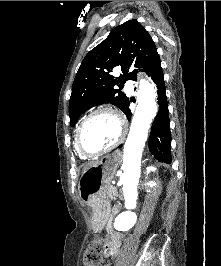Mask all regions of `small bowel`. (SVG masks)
I'll return each mask as SVG.
<instances>
[{"instance_id": "c3829d8e", "label": "small bowel", "mask_w": 221, "mask_h": 266, "mask_svg": "<svg viewBox=\"0 0 221 266\" xmlns=\"http://www.w3.org/2000/svg\"><path fill=\"white\" fill-rule=\"evenodd\" d=\"M108 229L110 232V241L105 245L104 254L106 257H112L117 254L118 248L123 240V234L116 231L112 225Z\"/></svg>"}]
</instances>
